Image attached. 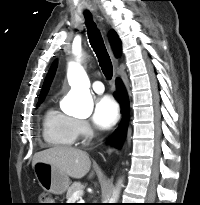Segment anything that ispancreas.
<instances>
[{
	"label": "pancreas",
	"mask_w": 200,
	"mask_h": 205,
	"mask_svg": "<svg viewBox=\"0 0 200 205\" xmlns=\"http://www.w3.org/2000/svg\"><path fill=\"white\" fill-rule=\"evenodd\" d=\"M76 191H83V185L80 182H74L67 190L66 198L67 202L70 203V199L72 198V195Z\"/></svg>",
	"instance_id": "obj_1"
}]
</instances>
